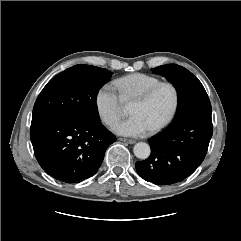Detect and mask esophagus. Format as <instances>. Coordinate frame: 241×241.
Instances as JSON below:
<instances>
[{
    "label": "esophagus",
    "instance_id": "1",
    "mask_svg": "<svg viewBox=\"0 0 241 241\" xmlns=\"http://www.w3.org/2000/svg\"><path fill=\"white\" fill-rule=\"evenodd\" d=\"M120 141L129 143V144H134L136 141L133 139H127V138H119Z\"/></svg>",
    "mask_w": 241,
    "mask_h": 241
}]
</instances>
